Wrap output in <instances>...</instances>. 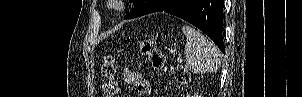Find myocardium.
<instances>
[{
  "label": "myocardium",
  "instance_id": "1",
  "mask_svg": "<svg viewBox=\"0 0 302 97\" xmlns=\"http://www.w3.org/2000/svg\"><path fill=\"white\" fill-rule=\"evenodd\" d=\"M123 0H110V8L115 12H120L124 9Z\"/></svg>",
  "mask_w": 302,
  "mask_h": 97
}]
</instances>
